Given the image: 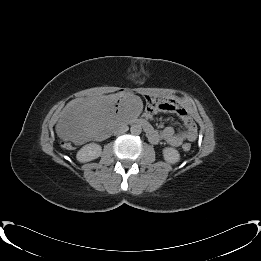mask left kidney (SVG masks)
<instances>
[{
	"mask_svg": "<svg viewBox=\"0 0 261 261\" xmlns=\"http://www.w3.org/2000/svg\"><path fill=\"white\" fill-rule=\"evenodd\" d=\"M162 152L167 163L175 164L180 161V154L175 148L165 147Z\"/></svg>",
	"mask_w": 261,
	"mask_h": 261,
	"instance_id": "1",
	"label": "left kidney"
}]
</instances>
